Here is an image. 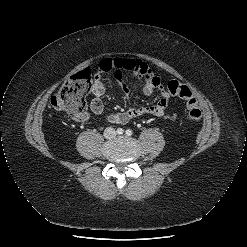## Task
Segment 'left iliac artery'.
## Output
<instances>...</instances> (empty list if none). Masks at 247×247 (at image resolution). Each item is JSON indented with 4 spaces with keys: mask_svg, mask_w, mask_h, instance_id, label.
<instances>
[{
    "mask_svg": "<svg viewBox=\"0 0 247 247\" xmlns=\"http://www.w3.org/2000/svg\"><path fill=\"white\" fill-rule=\"evenodd\" d=\"M125 133L127 136H131L133 134L132 130L130 129H127Z\"/></svg>",
    "mask_w": 247,
    "mask_h": 247,
    "instance_id": "1",
    "label": "left iliac artery"
}]
</instances>
